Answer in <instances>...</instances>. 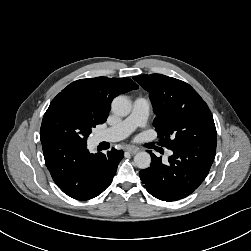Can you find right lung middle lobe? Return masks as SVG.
<instances>
[{
    "label": "right lung middle lobe",
    "instance_id": "1",
    "mask_svg": "<svg viewBox=\"0 0 251 251\" xmlns=\"http://www.w3.org/2000/svg\"><path fill=\"white\" fill-rule=\"evenodd\" d=\"M98 124L84 108L70 100L51 103L41 125V141L65 140L87 145L91 130Z\"/></svg>",
    "mask_w": 251,
    "mask_h": 251
}]
</instances>
